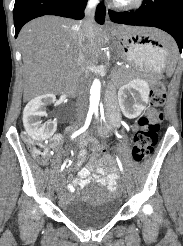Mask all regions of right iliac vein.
Here are the masks:
<instances>
[{"label":"right iliac vein","instance_id":"right-iliac-vein-1","mask_svg":"<svg viewBox=\"0 0 183 246\" xmlns=\"http://www.w3.org/2000/svg\"><path fill=\"white\" fill-rule=\"evenodd\" d=\"M63 177V176H62ZM61 180H62V178L59 180V182H58V184H57V189H58V187L60 186V184H61Z\"/></svg>","mask_w":183,"mask_h":246}]
</instances>
